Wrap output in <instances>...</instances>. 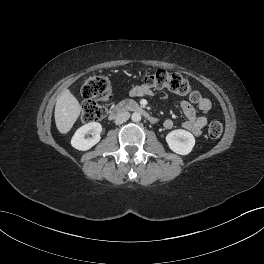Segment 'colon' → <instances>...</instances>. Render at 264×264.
Masks as SVG:
<instances>
[{
  "instance_id": "colon-1",
  "label": "colon",
  "mask_w": 264,
  "mask_h": 264,
  "mask_svg": "<svg viewBox=\"0 0 264 264\" xmlns=\"http://www.w3.org/2000/svg\"><path fill=\"white\" fill-rule=\"evenodd\" d=\"M143 85L148 88L167 89L178 95L189 97L192 102H198L201 98L181 75L162 69L146 75ZM82 96L84 98L82 120L86 123L102 120L107 114V104L112 98L108 79L103 76L89 77L82 87ZM222 131L223 126L219 121H211L208 125V135L212 139L219 138Z\"/></svg>"
}]
</instances>
